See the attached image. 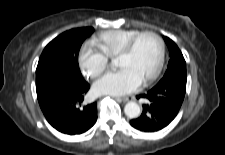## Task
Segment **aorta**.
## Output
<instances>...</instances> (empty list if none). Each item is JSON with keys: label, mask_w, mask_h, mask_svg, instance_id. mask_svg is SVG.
<instances>
[{"label": "aorta", "mask_w": 225, "mask_h": 155, "mask_svg": "<svg viewBox=\"0 0 225 155\" xmlns=\"http://www.w3.org/2000/svg\"><path fill=\"white\" fill-rule=\"evenodd\" d=\"M124 113L130 119L137 118L141 113L140 106L136 102H128L124 107Z\"/></svg>", "instance_id": "1"}]
</instances>
